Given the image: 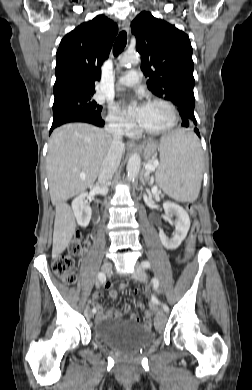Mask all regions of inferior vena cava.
<instances>
[{
    "label": "inferior vena cava",
    "instance_id": "inferior-vena-cava-1",
    "mask_svg": "<svg viewBox=\"0 0 252 390\" xmlns=\"http://www.w3.org/2000/svg\"><path fill=\"white\" fill-rule=\"evenodd\" d=\"M105 131L112 137V142L101 164L98 175V186L103 194L108 192V185L120 164L124 147L122 142L124 131L120 125L109 123L105 126Z\"/></svg>",
    "mask_w": 252,
    "mask_h": 390
}]
</instances>
